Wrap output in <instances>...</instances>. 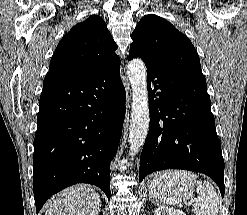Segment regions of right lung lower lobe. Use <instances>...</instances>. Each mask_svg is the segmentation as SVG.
<instances>
[{"label":"right lung lower lobe","mask_w":247,"mask_h":215,"mask_svg":"<svg viewBox=\"0 0 247 215\" xmlns=\"http://www.w3.org/2000/svg\"><path fill=\"white\" fill-rule=\"evenodd\" d=\"M119 66L82 78L45 76L33 156L37 214L53 194L77 183L96 185L110 199V162L125 117Z\"/></svg>","instance_id":"98d812e1"}]
</instances>
